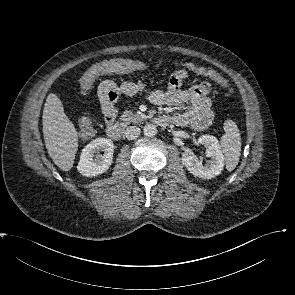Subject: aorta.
I'll use <instances>...</instances> for the list:
<instances>
[{"label": "aorta", "mask_w": 295, "mask_h": 295, "mask_svg": "<svg viewBox=\"0 0 295 295\" xmlns=\"http://www.w3.org/2000/svg\"><path fill=\"white\" fill-rule=\"evenodd\" d=\"M143 132L147 137H154L157 134V128L153 124H147L145 125Z\"/></svg>", "instance_id": "aorta-1"}]
</instances>
